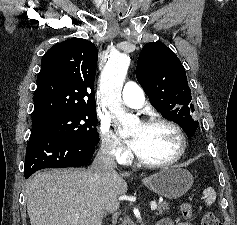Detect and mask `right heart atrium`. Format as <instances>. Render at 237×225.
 <instances>
[{
  "label": "right heart atrium",
  "mask_w": 237,
  "mask_h": 225,
  "mask_svg": "<svg viewBox=\"0 0 237 225\" xmlns=\"http://www.w3.org/2000/svg\"><path fill=\"white\" fill-rule=\"evenodd\" d=\"M101 150L109 158L125 163L130 159L128 150L123 146L120 138L113 132L110 124L101 121L98 126Z\"/></svg>",
  "instance_id": "right-heart-atrium-1"
}]
</instances>
